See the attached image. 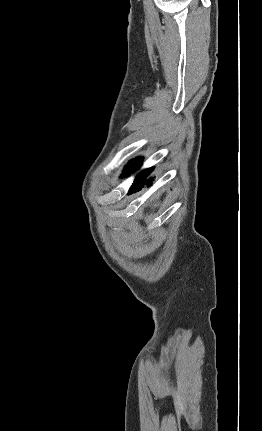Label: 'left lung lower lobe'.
Returning <instances> with one entry per match:
<instances>
[{
	"mask_svg": "<svg viewBox=\"0 0 262 431\" xmlns=\"http://www.w3.org/2000/svg\"><path fill=\"white\" fill-rule=\"evenodd\" d=\"M142 160L141 159H135L134 162H132L131 164V171H134L136 169H138L141 165ZM153 171V168H149L147 170H144L142 173H140L134 180V183L132 184L131 188L129 189V193L131 194L132 192H136L137 190H139L144 184H149L151 185L152 183V178L147 179V177L151 174V172Z\"/></svg>",
	"mask_w": 262,
	"mask_h": 431,
	"instance_id": "1",
	"label": "left lung lower lobe"
}]
</instances>
